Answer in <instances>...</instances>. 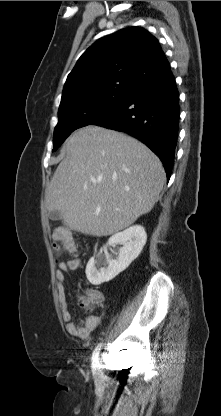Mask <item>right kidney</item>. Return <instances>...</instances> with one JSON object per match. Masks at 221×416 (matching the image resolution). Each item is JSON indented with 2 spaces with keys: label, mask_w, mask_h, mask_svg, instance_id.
<instances>
[{
  "label": "right kidney",
  "mask_w": 221,
  "mask_h": 416,
  "mask_svg": "<svg viewBox=\"0 0 221 416\" xmlns=\"http://www.w3.org/2000/svg\"><path fill=\"white\" fill-rule=\"evenodd\" d=\"M147 234L141 225H133L122 232L116 233L108 240V245L121 244L118 257L111 258L102 254L103 249L93 256L86 266V277L93 285H100L116 277L138 257L146 244Z\"/></svg>",
  "instance_id": "1"
}]
</instances>
